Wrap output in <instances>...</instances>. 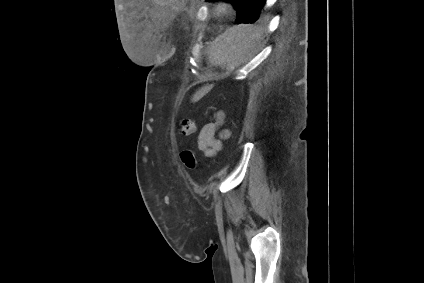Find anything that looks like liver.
<instances>
[{
	"instance_id": "6515ba94",
	"label": "liver",
	"mask_w": 424,
	"mask_h": 283,
	"mask_svg": "<svg viewBox=\"0 0 424 283\" xmlns=\"http://www.w3.org/2000/svg\"><path fill=\"white\" fill-rule=\"evenodd\" d=\"M246 30H250L249 28H231L228 29L224 35L222 36L223 41L228 43H233L235 41L240 40L243 37V33ZM235 39V40H234Z\"/></svg>"
}]
</instances>
